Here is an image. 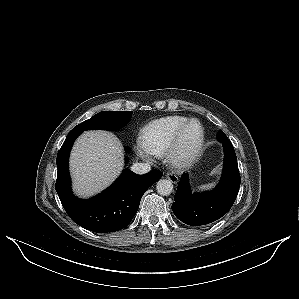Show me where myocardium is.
Returning <instances> with one entry per match:
<instances>
[{"instance_id":"myocardium-1","label":"myocardium","mask_w":299,"mask_h":299,"mask_svg":"<svg viewBox=\"0 0 299 299\" xmlns=\"http://www.w3.org/2000/svg\"><path fill=\"white\" fill-rule=\"evenodd\" d=\"M197 124L200 133L196 141L187 146L184 138L188 129ZM205 140V131L202 123L197 119L188 120L177 132L169 150L167 151V159L174 168L182 169L193 163L199 156Z\"/></svg>"}]
</instances>
